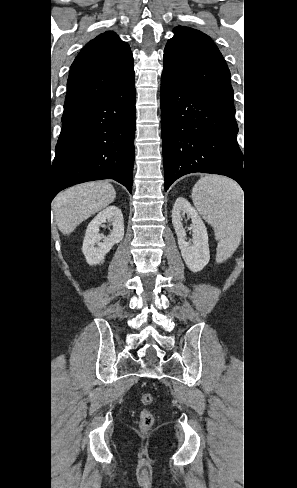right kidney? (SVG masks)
<instances>
[{"label": "right kidney", "mask_w": 297, "mask_h": 488, "mask_svg": "<svg viewBox=\"0 0 297 488\" xmlns=\"http://www.w3.org/2000/svg\"><path fill=\"white\" fill-rule=\"evenodd\" d=\"M107 220L113 223V230L108 236L99 233V227ZM124 237V220L117 206H109L99 212L88 224L83 240L82 252L89 265L100 264L111 248ZM98 245V247H96Z\"/></svg>", "instance_id": "right-kidney-1"}]
</instances>
